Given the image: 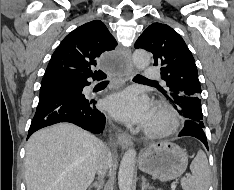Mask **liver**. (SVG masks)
<instances>
[{"label": "liver", "mask_w": 234, "mask_h": 190, "mask_svg": "<svg viewBox=\"0 0 234 190\" xmlns=\"http://www.w3.org/2000/svg\"><path fill=\"white\" fill-rule=\"evenodd\" d=\"M104 149L97 137L70 123L35 132L26 145L27 190H87Z\"/></svg>", "instance_id": "obj_1"}]
</instances>
